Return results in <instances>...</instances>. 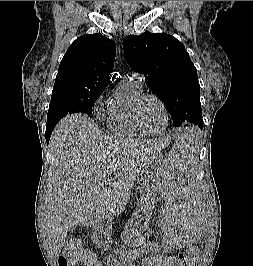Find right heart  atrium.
<instances>
[{
  "label": "right heart atrium",
  "mask_w": 253,
  "mask_h": 266,
  "mask_svg": "<svg viewBox=\"0 0 253 266\" xmlns=\"http://www.w3.org/2000/svg\"><path fill=\"white\" fill-rule=\"evenodd\" d=\"M103 102H104V95L101 94L97 97L95 103H94V111L95 112H99L101 110V107L103 105Z\"/></svg>",
  "instance_id": "obj_1"
}]
</instances>
